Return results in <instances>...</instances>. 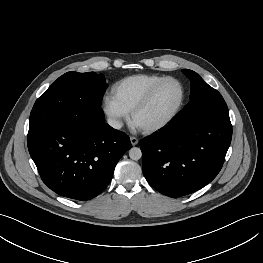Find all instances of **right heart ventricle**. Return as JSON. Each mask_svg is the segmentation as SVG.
I'll return each instance as SVG.
<instances>
[{"instance_id": "1", "label": "right heart ventricle", "mask_w": 263, "mask_h": 263, "mask_svg": "<svg viewBox=\"0 0 263 263\" xmlns=\"http://www.w3.org/2000/svg\"><path fill=\"white\" fill-rule=\"evenodd\" d=\"M163 77L158 74H138L122 78L113 84L111 97L128 113L147 91Z\"/></svg>"}]
</instances>
